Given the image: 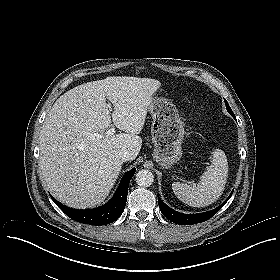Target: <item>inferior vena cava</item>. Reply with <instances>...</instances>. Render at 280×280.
Instances as JSON below:
<instances>
[{
	"label": "inferior vena cava",
	"mask_w": 280,
	"mask_h": 280,
	"mask_svg": "<svg viewBox=\"0 0 280 280\" xmlns=\"http://www.w3.org/2000/svg\"><path fill=\"white\" fill-rule=\"evenodd\" d=\"M131 154L129 153V152H124L122 155H121V160L123 161V162H126V161H129V160H131Z\"/></svg>",
	"instance_id": "obj_1"
}]
</instances>
